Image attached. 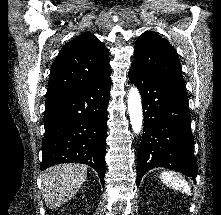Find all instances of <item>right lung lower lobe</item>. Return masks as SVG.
Wrapping results in <instances>:
<instances>
[{
	"instance_id": "obj_1",
	"label": "right lung lower lobe",
	"mask_w": 221,
	"mask_h": 215,
	"mask_svg": "<svg viewBox=\"0 0 221 215\" xmlns=\"http://www.w3.org/2000/svg\"><path fill=\"white\" fill-rule=\"evenodd\" d=\"M110 75L45 104L41 170L58 163L93 167L103 183Z\"/></svg>"
}]
</instances>
